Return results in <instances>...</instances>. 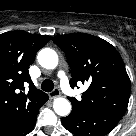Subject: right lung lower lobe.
Instances as JSON below:
<instances>
[{
  "label": "right lung lower lobe",
  "mask_w": 136,
  "mask_h": 136,
  "mask_svg": "<svg viewBox=\"0 0 136 136\" xmlns=\"http://www.w3.org/2000/svg\"><path fill=\"white\" fill-rule=\"evenodd\" d=\"M47 100H48V97L41 103L40 107H41ZM40 107H39V108H40ZM38 110H39V109H38ZM38 110H37V112L35 113V115H34V117L32 118V120L30 121V123L27 125V127H26L24 130H22L21 132L16 133V134H14V135H12V136H24V135H26L27 133H29V132L33 129V127H34V125H35V123H36V116H37Z\"/></svg>",
  "instance_id": "right-lung-lower-lobe-1"
}]
</instances>
